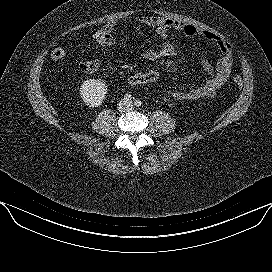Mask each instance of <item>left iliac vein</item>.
<instances>
[{"instance_id": "4c4485c4", "label": "left iliac vein", "mask_w": 272, "mask_h": 272, "mask_svg": "<svg viewBox=\"0 0 272 272\" xmlns=\"http://www.w3.org/2000/svg\"><path fill=\"white\" fill-rule=\"evenodd\" d=\"M132 103L130 102V103H128V107H129V109H131L132 108Z\"/></svg>"}]
</instances>
